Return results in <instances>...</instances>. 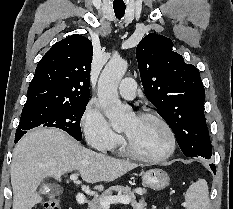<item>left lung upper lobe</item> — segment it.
I'll return each mask as SVG.
<instances>
[{
	"label": "left lung upper lobe",
	"mask_w": 233,
	"mask_h": 209,
	"mask_svg": "<svg viewBox=\"0 0 233 209\" xmlns=\"http://www.w3.org/2000/svg\"><path fill=\"white\" fill-rule=\"evenodd\" d=\"M172 41L150 33L138 44L136 57L144 91L175 133L187 157H211L204 116L205 90L198 69L172 51Z\"/></svg>",
	"instance_id": "1"
}]
</instances>
